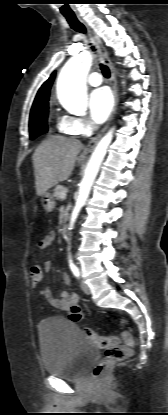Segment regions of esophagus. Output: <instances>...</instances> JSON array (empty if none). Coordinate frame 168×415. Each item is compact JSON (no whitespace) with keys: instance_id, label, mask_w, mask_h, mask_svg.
I'll use <instances>...</instances> for the list:
<instances>
[{"instance_id":"1","label":"esophagus","mask_w":168,"mask_h":415,"mask_svg":"<svg viewBox=\"0 0 168 415\" xmlns=\"http://www.w3.org/2000/svg\"><path fill=\"white\" fill-rule=\"evenodd\" d=\"M79 20L84 24V26L86 27L90 37L92 38L99 54L101 57V60L106 63L110 69V84L112 87V91H113V95H114V107L111 113V116L108 120V122L106 123V125L103 127V129L100 131V133L94 137L86 146L85 150L87 151H91L95 148L96 144L98 143V141L100 140V138L102 137V135L105 133V131L107 130V128L109 127V124L111 122V120L113 119V116L116 112V107H117V103H118V90H117V74H116V70L112 64V62L109 59L108 56V52L106 50V48L104 47L100 37L94 32V30L92 28H90L84 21L83 19H81L80 17H78Z\"/></svg>"}]
</instances>
